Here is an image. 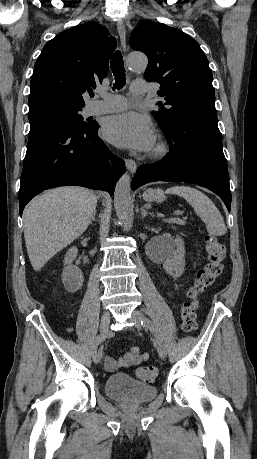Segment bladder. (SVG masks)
<instances>
[{
	"instance_id": "bladder-1",
	"label": "bladder",
	"mask_w": 257,
	"mask_h": 459,
	"mask_svg": "<svg viewBox=\"0 0 257 459\" xmlns=\"http://www.w3.org/2000/svg\"><path fill=\"white\" fill-rule=\"evenodd\" d=\"M106 395L128 404H144L157 395V388L137 381L127 373H115L105 382Z\"/></svg>"
}]
</instances>
